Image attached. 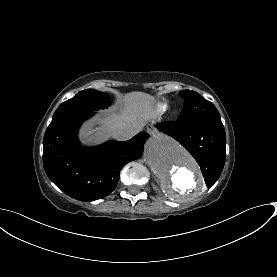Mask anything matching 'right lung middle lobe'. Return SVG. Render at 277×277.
<instances>
[{"label": "right lung middle lobe", "instance_id": "obj_1", "mask_svg": "<svg viewBox=\"0 0 277 277\" xmlns=\"http://www.w3.org/2000/svg\"><path fill=\"white\" fill-rule=\"evenodd\" d=\"M107 93L92 89L77 93L72 99L62 103L55 111L50 125H54L70 116L81 113H93L110 105Z\"/></svg>", "mask_w": 277, "mask_h": 277}]
</instances>
